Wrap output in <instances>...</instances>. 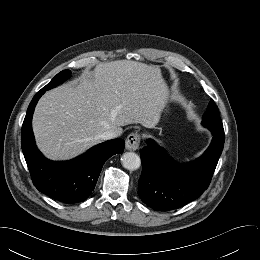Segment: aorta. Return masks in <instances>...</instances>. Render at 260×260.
<instances>
[{
    "label": "aorta",
    "instance_id": "obj_1",
    "mask_svg": "<svg viewBox=\"0 0 260 260\" xmlns=\"http://www.w3.org/2000/svg\"><path fill=\"white\" fill-rule=\"evenodd\" d=\"M122 166L128 170H137L141 165L139 155L134 152H126L121 157Z\"/></svg>",
    "mask_w": 260,
    "mask_h": 260
}]
</instances>
